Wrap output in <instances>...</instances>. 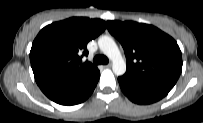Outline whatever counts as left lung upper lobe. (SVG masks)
Instances as JSON below:
<instances>
[{
	"label": "left lung upper lobe",
	"instance_id": "5c2ea615",
	"mask_svg": "<svg viewBox=\"0 0 203 123\" xmlns=\"http://www.w3.org/2000/svg\"><path fill=\"white\" fill-rule=\"evenodd\" d=\"M108 31L122 44L124 75L172 89L182 71L177 42L160 29L133 21H107Z\"/></svg>",
	"mask_w": 203,
	"mask_h": 123
}]
</instances>
